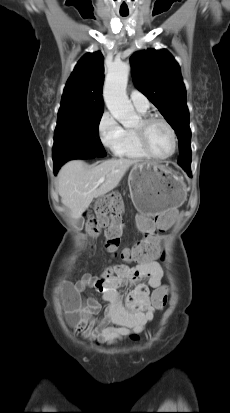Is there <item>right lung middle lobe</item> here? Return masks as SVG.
<instances>
[{
	"mask_svg": "<svg viewBox=\"0 0 230 413\" xmlns=\"http://www.w3.org/2000/svg\"><path fill=\"white\" fill-rule=\"evenodd\" d=\"M101 117L58 118L54 133V164L63 165L71 159L105 157L106 151L98 133Z\"/></svg>",
	"mask_w": 230,
	"mask_h": 413,
	"instance_id": "right-lung-middle-lobe-1",
	"label": "right lung middle lobe"
}]
</instances>
